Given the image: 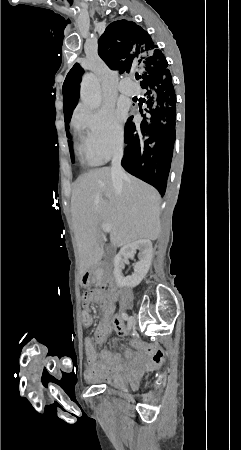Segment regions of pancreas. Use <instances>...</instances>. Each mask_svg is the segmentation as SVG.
<instances>
[{
    "label": "pancreas",
    "mask_w": 241,
    "mask_h": 450,
    "mask_svg": "<svg viewBox=\"0 0 241 450\" xmlns=\"http://www.w3.org/2000/svg\"><path fill=\"white\" fill-rule=\"evenodd\" d=\"M103 282V270H100V272H97V286H100Z\"/></svg>",
    "instance_id": "pancreas-1"
}]
</instances>
